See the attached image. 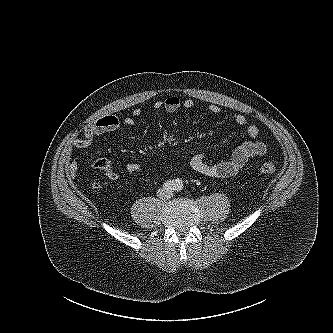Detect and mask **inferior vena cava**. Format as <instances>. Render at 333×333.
Masks as SVG:
<instances>
[{"label":"inferior vena cava","instance_id":"inferior-vena-cava-1","mask_svg":"<svg viewBox=\"0 0 333 333\" xmlns=\"http://www.w3.org/2000/svg\"><path fill=\"white\" fill-rule=\"evenodd\" d=\"M171 196H172V192L169 190H160L158 192V197L160 199H169V198H171Z\"/></svg>","mask_w":333,"mask_h":333}]
</instances>
